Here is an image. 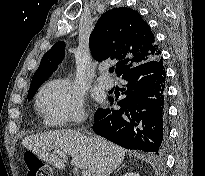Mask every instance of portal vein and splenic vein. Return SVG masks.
<instances>
[{
    "label": "portal vein and splenic vein",
    "instance_id": "18ae733b",
    "mask_svg": "<svg viewBox=\"0 0 205 176\" xmlns=\"http://www.w3.org/2000/svg\"><path fill=\"white\" fill-rule=\"evenodd\" d=\"M58 155H59L60 157H62L64 160H67V157H66V155H65L64 153L58 152ZM82 176H91V174H90L89 171L83 170V171H82Z\"/></svg>",
    "mask_w": 205,
    "mask_h": 176
}]
</instances>
